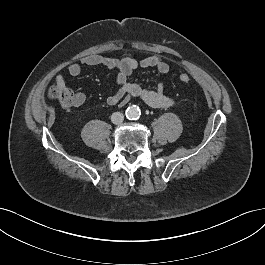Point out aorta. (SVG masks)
<instances>
[{"label": "aorta", "mask_w": 265, "mask_h": 265, "mask_svg": "<svg viewBox=\"0 0 265 265\" xmlns=\"http://www.w3.org/2000/svg\"><path fill=\"white\" fill-rule=\"evenodd\" d=\"M140 114V109L136 105H131L126 110V117L129 119H137L139 118Z\"/></svg>", "instance_id": "762f6f07"}]
</instances>
